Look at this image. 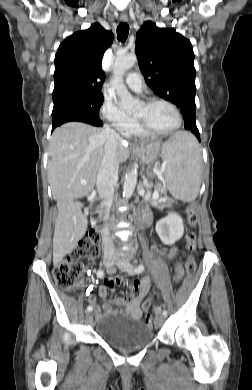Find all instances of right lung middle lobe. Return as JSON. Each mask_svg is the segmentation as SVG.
<instances>
[{"mask_svg":"<svg viewBox=\"0 0 252 390\" xmlns=\"http://www.w3.org/2000/svg\"><path fill=\"white\" fill-rule=\"evenodd\" d=\"M103 100V96H72L53 101L52 120L76 117L102 123L99 118V110Z\"/></svg>","mask_w":252,"mask_h":390,"instance_id":"obj_1","label":"right lung middle lobe"}]
</instances>
